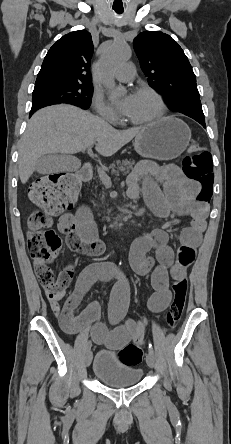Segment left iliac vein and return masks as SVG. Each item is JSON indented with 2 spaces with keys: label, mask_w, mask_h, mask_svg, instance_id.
<instances>
[{
  "label": "left iliac vein",
  "mask_w": 231,
  "mask_h": 444,
  "mask_svg": "<svg viewBox=\"0 0 231 444\" xmlns=\"http://www.w3.org/2000/svg\"><path fill=\"white\" fill-rule=\"evenodd\" d=\"M146 361L149 367L153 368L155 366V357L154 353L148 352L146 355Z\"/></svg>",
  "instance_id": "obj_1"
}]
</instances>
